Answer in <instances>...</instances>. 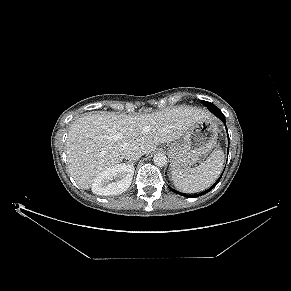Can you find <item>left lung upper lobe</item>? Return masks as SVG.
<instances>
[{
    "mask_svg": "<svg viewBox=\"0 0 291 291\" xmlns=\"http://www.w3.org/2000/svg\"><path fill=\"white\" fill-rule=\"evenodd\" d=\"M202 103L211 111V110H214V109H217V107L214 105V104H212V103H210V102H207V101H203L202 100Z\"/></svg>",
    "mask_w": 291,
    "mask_h": 291,
    "instance_id": "5c2ea615",
    "label": "left lung upper lobe"
}]
</instances>
